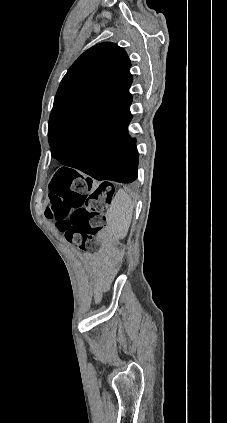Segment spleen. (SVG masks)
Returning a JSON list of instances; mask_svg holds the SVG:
<instances>
[{
    "instance_id": "1",
    "label": "spleen",
    "mask_w": 227,
    "mask_h": 423,
    "mask_svg": "<svg viewBox=\"0 0 227 423\" xmlns=\"http://www.w3.org/2000/svg\"><path fill=\"white\" fill-rule=\"evenodd\" d=\"M133 208L134 204L130 196L124 190H118L106 213L109 229H111L116 239L126 237L132 219Z\"/></svg>"
}]
</instances>
